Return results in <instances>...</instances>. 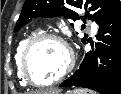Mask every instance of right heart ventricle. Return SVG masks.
I'll return each instance as SVG.
<instances>
[{
  "label": "right heart ventricle",
  "instance_id": "1",
  "mask_svg": "<svg viewBox=\"0 0 121 94\" xmlns=\"http://www.w3.org/2000/svg\"><path fill=\"white\" fill-rule=\"evenodd\" d=\"M37 35L36 32H31L28 35H26L24 38H22V40L19 42L17 49H16V53H15V65H16V70H17V74L20 80V83L25 86L26 82L25 79L21 73V67H20V62H21V55L22 52L26 46V44Z\"/></svg>",
  "mask_w": 121,
  "mask_h": 94
}]
</instances>
